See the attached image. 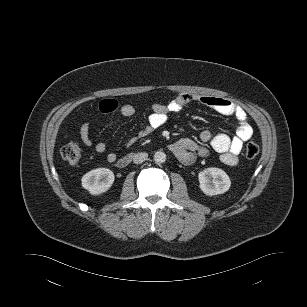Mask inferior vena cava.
<instances>
[{
    "instance_id": "602c4592",
    "label": "inferior vena cava",
    "mask_w": 307,
    "mask_h": 307,
    "mask_svg": "<svg viewBox=\"0 0 307 307\" xmlns=\"http://www.w3.org/2000/svg\"><path fill=\"white\" fill-rule=\"evenodd\" d=\"M148 154L146 152H140L134 155L133 162L135 164H140L147 160Z\"/></svg>"
}]
</instances>
